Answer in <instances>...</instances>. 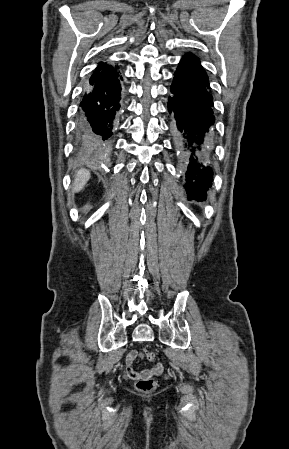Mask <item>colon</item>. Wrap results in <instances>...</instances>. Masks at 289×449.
<instances>
[{
  "mask_svg": "<svg viewBox=\"0 0 289 449\" xmlns=\"http://www.w3.org/2000/svg\"><path fill=\"white\" fill-rule=\"evenodd\" d=\"M145 356L149 361L155 359V353L153 351L146 350ZM156 382L151 376L140 377L136 379V388L142 392H150L155 389Z\"/></svg>",
  "mask_w": 289,
  "mask_h": 449,
  "instance_id": "colon-1",
  "label": "colon"
}]
</instances>
